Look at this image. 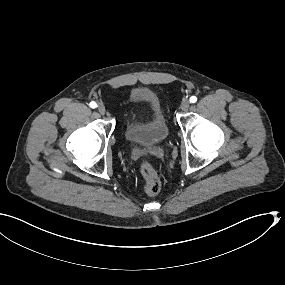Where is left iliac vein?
Masks as SVG:
<instances>
[{
	"label": "left iliac vein",
	"instance_id": "left-iliac-vein-1",
	"mask_svg": "<svg viewBox=\"0 0 285 285\" xmlns=\"http://www.w3.org/2000/svg\"><path fill=\"white\" fill-rule=\"evenodd\" d=\"M189 101L188 100H183L182 103H181V109L183 111H187L189 109Z\"/></svg>",
	"mask_w": 285,
	"mask_h": 285
}]
</instances>
